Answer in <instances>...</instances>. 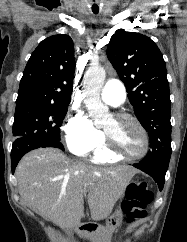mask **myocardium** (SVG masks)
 <instances>
[{"label": "myocardium", "mask_w": 187, "mask_h": 242, "mask_svg": "<svg viewBox=\"0 0 187 242\" xmlns=\"http://www.w3.org/2000/svg\"><path fill=\"white\" fill-rule=\"evenodd\" d=\"M112 117L115 120L120 121V122H122V121L130 122L137 127V129L140 131V133L143 137V150L139 154H135V155L125 153L122 150H120L119 148H117L113 144L112 140L109 138L107 133L104 132V141H105L104 147H105L106 151L109 154H111L117 158L126 159V160H138V159L145 157L150 148V141H149L148 133H147L146 129L144 128V126L140 123V121L133 115L126 113V112L114 113L112 115Z\"/></svg>", "instance_id": "1"}]
</instances>
